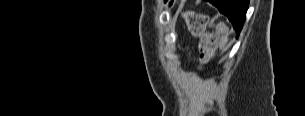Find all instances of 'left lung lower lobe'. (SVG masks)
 Returning a JSON list of instances; mask_svg holds the SVG:
<instances>
[{"mask_svg":"<svg viewBox=\"0 0 305 116\" xmlns=\"http://www.w3.org/2000/svg\"><path fill=\"white\" fill-rule=\"evenodd\" d=\"M214 6L218 8L220 13L226 15L232 22L234 29L236 30V36L243 27L246 12L248 9V0H209Z\"/></svg>","mask_w":305,"mask_h":116,"instance_id":"left-lung-lower-lobe-1","label":"left lung lower lobe"}]
</instances>
